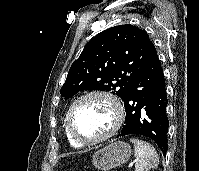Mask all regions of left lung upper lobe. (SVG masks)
I'll use <instances>...</instances> for the list:
<instances>
[{"instance_id":"5c2ea615","label":"left lung upper lobe","mask_w":199,"mask_h":171,"mask_svg":"<svg viewBox=\"0 0 199 171\" xmlns=\"http://www.w3.org/2000/svg\"><path fill=\"white\" fill-rule=\"evenodd\" d=\"M156 55L146 31L129 24L111 27L93 37L73 62L61 96L79 91H111L122 100L130 86Z\"/></svg>"}]
</instances>
